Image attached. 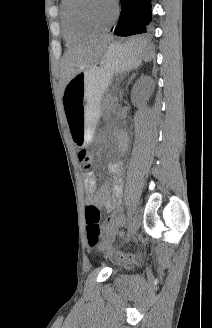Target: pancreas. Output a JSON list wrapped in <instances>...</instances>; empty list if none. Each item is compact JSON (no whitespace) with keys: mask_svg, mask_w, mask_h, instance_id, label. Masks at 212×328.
I'll return each mask as SVG.
<instances>
[{"mask_svg":"<svg viewBox=\"0 0 212 328\" xmlns=\"http://www.w3.org/2000/svg\"><path fill=\"white\" fill-rule=\"evenodd\" d=\"M103 107L108 110H112L116 108V103L112 97H106L103 102Z\"/></svg>","mask_w":212,"mask_h":328,"instance_id":"1","label":"pancreas"}]
</instances>
